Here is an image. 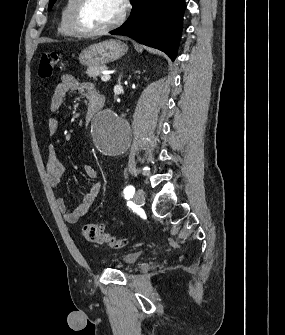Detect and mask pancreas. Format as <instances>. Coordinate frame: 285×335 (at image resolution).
Here are the masks:
<instances>
[{
  "label": "pancreas",
  "instance_id": "pancreas-1",
  "mask_svg": "<svg viewBox=\"0 0 285 335\" xmlns=\"http://www.w3.org/2000/svg\"><path fill=\"white\" fill-rule=\"evenodd\" d=\"M103 70H107L106 66H90V68L87 70V74H89L90 79H93L96 74L103 72Z\"/></svg>",
  "mask_w": 285,
  "mask_h": 335
}]
</instances>
